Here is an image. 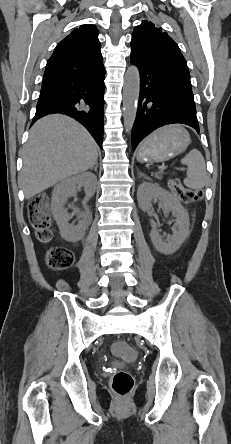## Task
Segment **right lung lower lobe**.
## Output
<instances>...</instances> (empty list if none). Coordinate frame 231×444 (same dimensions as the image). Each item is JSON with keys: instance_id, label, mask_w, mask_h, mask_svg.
I'll return each mask as SVG.
<instances>
[{"instance_id": "1", "label": "right lung lower lobe", "mask_w": 231, "mask_h": 444, "mask_svg": "<svg viewBox=\"0 0 231 444\" xmlns=\"http://www.w3.org/2000/svg\"><path fill=\"white\" fill-rule=\"evenodd\" d=\"M104 78L102 69L42 85L32 124L47 114H66L84 125L102 147Z\"/></svg>"}]
</instances>
